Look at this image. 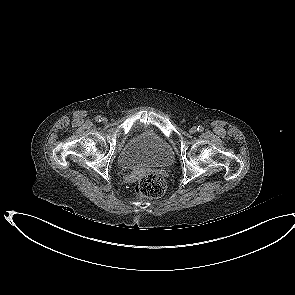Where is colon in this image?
<instances>
[{
    "mask_svg": "<svg viewBox=\"0 0 295 295\" xmlns=\"http://www.w3.org/2000/svg\"><path fill=\"white\" fill-rule=\"evenodd\" d=\"M166 183L158 174L144 175L136 186V193L142 198H158L165 193Z\"/></svg>",
    "mask_w": 295,
    "mask_h": 295,
    "instance_id": "colon-1",
    "label": "colon"
}]
</instances>
